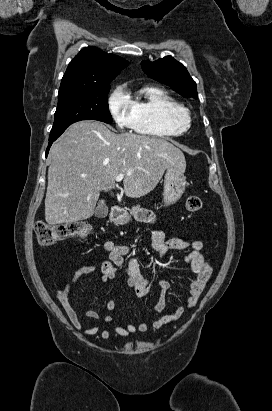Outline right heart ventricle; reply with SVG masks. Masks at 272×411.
<instances>
[{
	"label": "right heart ventricle",
	"instance_id": "obj_1",
	"mask_svg": "<svg viewBox=\"0 0 272 411\" xmlns=\"http://www.w3.org/2000/svg\"><path fill=\"white\" fill-rule=\"evenodd\" d=\"M129 97L134 112L132 128L137 133L168 138L182 135L187 131L188 110L165 90L146 87L135 96L129 94Z\"/></svg>",
	"mask_w": 272,
	"mask_h": 411
}]
</instances>
